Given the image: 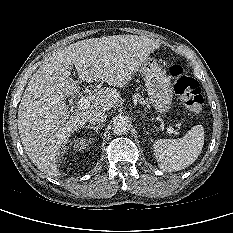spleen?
<instances>
[{
  "label": "spleen",
  "instance_id": "spleen-1",
  "mask_svg": "<svg viewBox=\"0 0 233 233\" xmlns=\"http://www.w3.org/2000/svg\"><path fill=\"white\" fill-rule=\"evenodd\" d=\"M204 145L202 125L192 127L180 139H159L153 149L161 170L173 172L189 167L200 155Z\"/></svg>",
  "mask_w": 233,
  "mask_h": 233
}]
</instances>
